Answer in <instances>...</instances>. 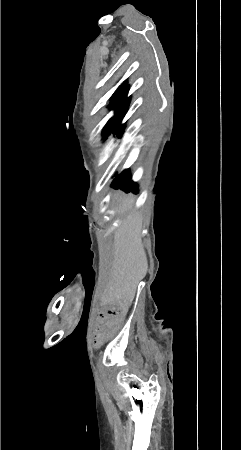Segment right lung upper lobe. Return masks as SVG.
I'll return each mask as SVG.
<instances>
[{
  "instance_id": "right-lung-upper-lobe-1",
  "label": "right lung upper lobe",
  "mask_w": 241,
  "mask_h": 450,
  "mask_svg": "<svg viewBox=\"0 0 241 450\" xmlns=\"http://www.w3.org/2000/svg\"><path fill=\"white\" fill-rule=\"evenodd\" d=\"M126 83H127V81H124L123 84L118 87V89L115 92V95L119 99H124V100L130 101L131 97H127L129 85Z\"/></svg>"
}]
</instances>
